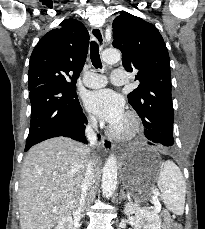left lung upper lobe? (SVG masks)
Masks as SVG:
<instances>
[{
    "instance_id": "left-lung-upper-lobe-1",
    "label": "left lung upper lobe",
    "mask_w": 205,
    "mask_h": 229,
    "mask_svg": "<svg viewBox=\"0 0 205 229\" xmlns=\"http://www.w3.org/2000/svg\"><path fill=\"white\" fill-rule=\"evenodd\" d=\"M112 45L122 52V64L135 72L140 84L128 94V101L141 118L144 134L163 128L170 135L164 146H172L173 105L169 54L156 27L143 19L121 14L113 21Z\"/></svg>"
}]
</instances>
